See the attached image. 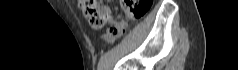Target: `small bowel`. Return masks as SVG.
<instances>
[{
  "label": "small bowel",
  "mask_w": 238,
  "mask_h": 70,
  "mask_svg": "<svg viewBox=\"0 0 238 70\" xmlns=\"http://www.w3.org/2000/svg\"><path fill=\"white\" fill-rule=\"evenodd\" d=\"M103 11L106 13L107 15V20L108 22L112 25L104 34V39L108 42H112L115 39H117L118 37H120L126 30L127 28V23L125 21H113L111 18V12L109 7L104 6L103 7ZM119 29L118 33H111V29Z\"/></svg>",
  "instance_id": "obj_1"
}]
</instances>
